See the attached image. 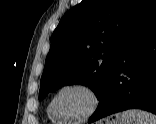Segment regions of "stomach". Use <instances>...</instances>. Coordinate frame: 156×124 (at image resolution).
<instances>
[{"label": "stomach", "mask_w": 156, "mask_h": 124, "mask_svg": "<svg viewBox=\"0 0 156 124\" xmlns=\"http://www.w3.org/2000/svg\"><path fill=\"white\" fill-rule=\"evenodd\" d=\"M105 124H133V122L125 119L121 114H119L115 119L106 121Z\"/></svg>", "instance_id": "0dacf381"}]
</instances>
